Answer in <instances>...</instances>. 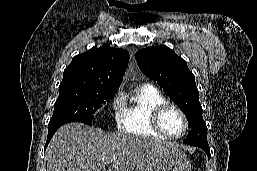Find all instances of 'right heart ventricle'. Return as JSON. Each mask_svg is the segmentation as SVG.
Wrapping results in <instances>:
<instances>
[{"instance_id": "obj_1", "label": "right heart ventricle", "mask_w": 257, "mask_h": 171, "mask_svg": "<svg viewBox=\"0 0 257 171\" xmlns=\"http://www.w3.org/2000/svg\"><path fill=\"white\" fill-rule=\"evenodd\" d=\"M165 102H168L165 96L154 86L146 84L139 87L124 105L119 130L131 135L166 139L151 125L153 110Z\"/></svg>"}]
</instances>
